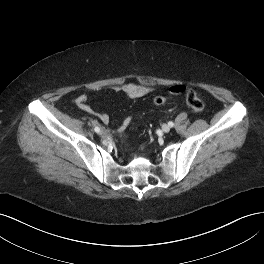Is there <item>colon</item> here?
<instances>
[{
  "label": "colon",
  "mask_w": 264,
  "mask_h": 264,
  "mask_svg": "<svg viewBox=\"0 0 264 264\" xmlns=\"http://www.w3.org/2000/svg\"><path fill=\"white\" fill-rule=\"evenodd\" d=\"M166 99L163 96H156L153 99V102L156 106H162L165 103ZM186 102L187 105L197 113H201L205 109L203 101L197 96V94L192 90L188 89L186 92Z\"/></svg>",
  "instance_id": "obj_1"
}]
</instances>
